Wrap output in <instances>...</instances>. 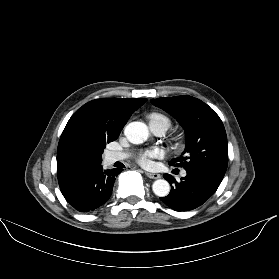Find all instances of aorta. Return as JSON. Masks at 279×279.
Masks as SVG:
<instances>
[{
    "instance_id": "1",
    "label": "aorta",
    "mask_w": 279,
    "mask_h": 279,
    "mask_svg": "<svg viewBox=\"0 0 279 279\" xmlns=\"http://www.w3.org/2000/svg\"><path fill=\"white\" fill-rule=\"evenodd\" d=\"M124 134L127 139L134 144H141L149 137L147 126L142 122H131L126 125ZM152 190L155 195L165 197L170 192V184L165 179H158L152 185Z\"/></svg>"
}]
</instances>
